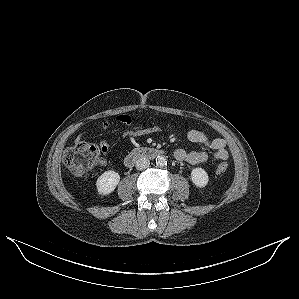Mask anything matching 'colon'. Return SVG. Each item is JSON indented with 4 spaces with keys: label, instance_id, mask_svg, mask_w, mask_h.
I'll return each mask as SVG.
<instances>
[{
    "label": "colon",
    "instance_id": "colon-1",
    "mask_svg": "<svg viewBox=\"0 0 299 299\" xmlns=\"http://www.w3.org/2000/svg\"><path fill=\"white\" fill-rule=\"evenodd\" d=\"M63 161L70 174L85 177L102 163V158L99 149L94 144L81 141L66 150ZM227 168L228 164L222 162L218 165L217 170L223 173Z\"/></svg>",
    "mask_w": 299,
    "mask_h": 299
}]
</instances>
